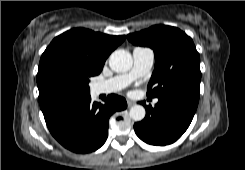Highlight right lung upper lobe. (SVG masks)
Instances as JSON below:
<instances>
[{
    "instance_id": "obj_1",
    "label": "right lung upper lobe",
    "mask_w": 245,
    "mask_h": 170,
    "mask_svg": "<svg viewBox=\"0 0 245 170\" xmlns=\"http://www.w3.org/2000/svg\"><path fill=\"white\" fill-rule=\"evenodd\" d=\"M125 39L84 28L71 29L53 39L41 56L37 74L39 103L43 114L55 107L48 106L41 91L44 74L51 68L94 76L102 71L105 60Z\"/></svg>"
}]
</instances>
